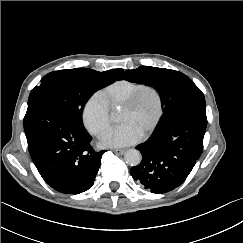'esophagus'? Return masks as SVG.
<instances>
[{"mask_svg": "<svg viewBox=\"0 0 243 243\" xmlns=\"http://www.w3.org/2000/svg\"><path fill=\"white\" fill-rule=\"evenodd\" d=\"M114 152L122 155L126 152V150L125 149H115Z\"/></svg>", "mask_w": 243, "mask_h": 243, "instance_id": "obj_1", "label": "esophagus"}]
</instances>
